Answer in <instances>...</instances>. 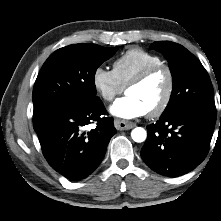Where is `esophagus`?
I'll return each mask as SVG.
<instances>
[{
  "label": "esophagus",
  "instance_id": "1",
  "mask_svg": "<svg viewBox=\"0 0 221 221\" xmlns=\"http://www.w3.org/2000/svg\"><path fill=\"white\" fill-rule=\"evenodd\" d=\"M114 125L116 127L117 130H129L134 128L136 125L132 122H128L125 120H121V119H115L114 120Z\"/></svg>",
  "mask_w": 221,
  "mask_h": 221
}]
</instances>
